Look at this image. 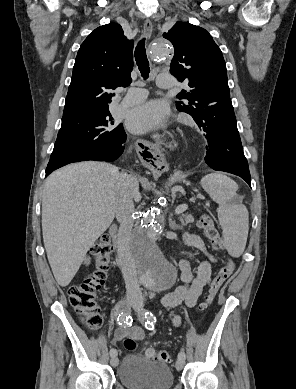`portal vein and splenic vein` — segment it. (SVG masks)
I'll list each match as a JSON object with an SVG mask.
<instances>
[{
	"instance_id": "obj_1",
	"label": "portal vein and splenic vein",
	"mask_w": 296,
	"mask_h": 389,
	"mask_svg": "<svg viewBox=\"0 0 296 389\" xmlns=\"http://www.w3.org/2000/svg\"><path fill=\"white\" fill-rule=\"evenodd\" d=\"M203 198V197H202ZM188 208L187 205L183 204V205H179L176 209H175V214H180L184 211H186Z\"/></svg>"
}]
</instances>
